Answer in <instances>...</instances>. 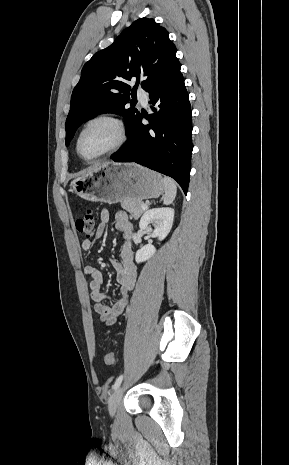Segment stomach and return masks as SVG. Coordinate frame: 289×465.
<instances>
[{
	"label": "stomach",
	"mask_w": 289,
	"mask_h": 465,
	"mask_svg": "<svg viewBox=\"0 0 289 465\" xmlns=\"http://www.w3.org/2000/svg\"><path fill=\"white\" fill-rule=\"evenodd\" d=\"M70 187L85 200L109 204L156 198L165 190L159 173L135 163L102 164L75 178Z\"/></svg>",
	"instance_id": "obj_1"
}]
</instances>
